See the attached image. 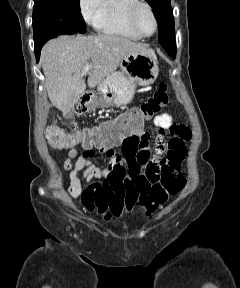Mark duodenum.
I'll use <instances>...</instances> for the list:
<instances>
[{"mask_svg": "<svg viewBox=\"0 0 240 288\" xmlns=\"http://www.w3.org/2000/svg\"><path fill=\"white\" fill-rule=\"evenodd\" d=\"M91 101V96L86 94L79 98L76 108L79 113H84L87 111L89 103Z\"/></svg>", "mask_w": 240, "mask_h": 288, "instance_id": "1", "label": "duodenum"}]
</instances>
